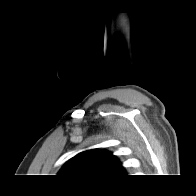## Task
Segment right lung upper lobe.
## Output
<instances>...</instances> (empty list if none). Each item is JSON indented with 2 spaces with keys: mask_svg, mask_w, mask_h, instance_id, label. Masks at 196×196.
<instances>
[{
  "mask_svg": "<svg viewBox=\"0 0 196 196\" xmlns=\"http://www.w3.org/2000/svg\"><path fill=\"white\" fill-rule=\"evenodd\" d=\"M59 175L87 179H104L123 176L125 171L118 159L102 149L79 153L69 160Z\"/></svg>",
  "mask_w": 196,
  "mask_h": 196,
  "instance_id": "cb5924a9",
  "label": "right lung upper lobe"
}]
</instances>
